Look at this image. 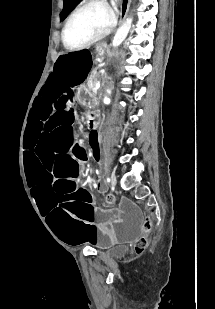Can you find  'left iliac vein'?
<instances>
[{
  "mask_svg": "<svg viewBox=\"0 0 215 309\" xmlns=\"http://www.w3.org/2000/svg\"><path fill=\"white\" fill-rule=\"evenodd\" d=\"M110 182H111L112 187H114L117 183V178L114 173L111 174Z\"/></svg>",
  "mask_w": 215,
  "mask_h": 309,
  "instance_id": "left-iliac-vein-1",
  "label": "left iliac vein"
}]
</instances>
